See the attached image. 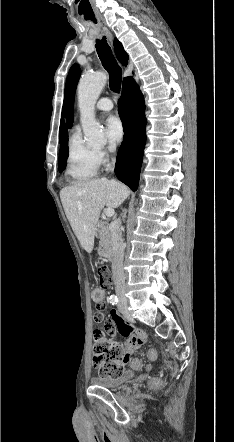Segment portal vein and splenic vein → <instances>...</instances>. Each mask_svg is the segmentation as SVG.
<instances>
[{"instance_id":"18ae733b","label":"portal vein and splenic vein","mask_w":234,"mask_h":442,"mask_svg":"<svg viewBox=\"0 0 234 442\" xmlns=\"http://www.w3.org/2000/svg\"><path fill=\"white\" fill-rule=\"evenodd\" d=\"M104 213L107 217H112L115 214V211L113 208H106Z\"/></svg>"}]
</instances>
